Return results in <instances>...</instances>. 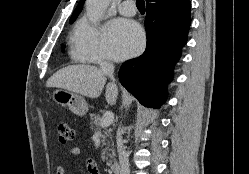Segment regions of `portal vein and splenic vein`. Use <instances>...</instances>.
<instances>
[{"label": "portal vein and splenic vein", "instance_id": "18ae733b", "mask_svg": "<svg viewBox=\"0 0 249 174\" xmlns=\"http://www.w3.org/2000/svg\"><path fill=\"white\" fill-rule=\"evenodd\" d=\"M114 120V114L112 111H106L100 121V126L102 128L104 127H108L109 125H111L113 123Z\"/></svg>", "mask_w": 249, "mask_h": 174}]
</instances>
